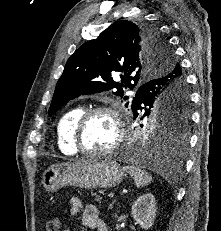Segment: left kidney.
Masks as SVG:
<instances>
[{
  "instance_id": "left-kidney-1",
  "label": "left kidney",
  "mask_w": 221,
  "mask_h": 231,
  "mask_svg": "<svg viewBox=\"0 0 221 231\" xmlns=\"http://www.w3.org/2000/svg\"><path fill=\"white\" fill-rule=\"evenodd\" d=\"M131 214L137 224L144 230L152 227L156 216V200L153 194L140 196L132 205Z\"/></svg>"
}]
</instances>
